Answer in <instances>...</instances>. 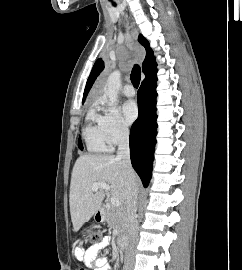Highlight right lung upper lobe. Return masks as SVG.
I'll use <instances>...</instances> for the list:
<instances>
[{
  "label": "right lung upper lobe",
  "instance_id": "1",
  "mask_svg": "<svg viewBox=\"0 0 242 270\" xmlns=\"http://www.w3.org/2000/svg\"><path fill=\"white\" fill-rule=\"evenodd\" d=\"M138 41L146 49V57H145L144 62L142 64L143 73L146 76L150 72H152L154 69H156L154 54H153V51L150 49L149 42L142 35H139ZM103 68H104L103 61L100 59L97 60L92 71H91V74L87 80L86 87L84 90V95H83V101L85 100V98H86L92 84L94 83L96 77L103 70Z\"/></svg>",
  "mask_w": 242,
  "mask_h": 270
}]
</instances>
